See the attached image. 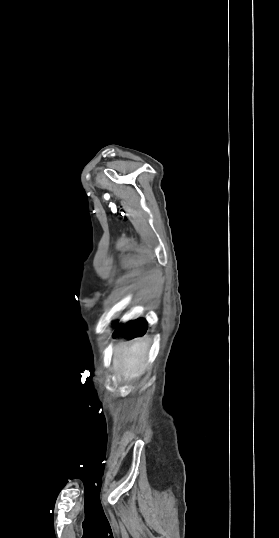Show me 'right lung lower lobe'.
Masks as SVG:
<instances>
[{
	"mask_svg": "<svg viewBox=\"0 0 279 538\" xmlns=\"http://www.w3.org/2000/svg\"><path fill=\"white\" fill-rule=\"evenodd\" d=\"M147 329V322L144 319H138L128 322L125 326L120 325L115 331L114 337L123 336L126 339H133L144 335Z\"/></svg>",
	"mask_w": 279,
	"mask_h": 538,
	"instance_id": "1",
	"label": "right lung lower lobe"
}]
</instances>
